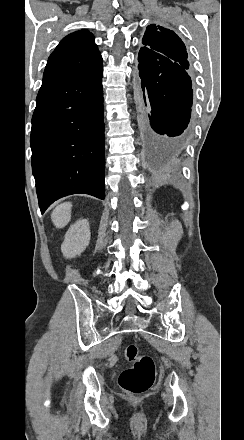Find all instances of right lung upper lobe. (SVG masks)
<instances>
[{
	"mask_svg": "<svg viewBox=\"0 0 244 440\" xmlns=\"http://www.w3.org/2000/svg\"><path fill=\"white\" fill-rule=\"evenodd\" d=\"M101 62L92 33L76 31L66 36L50 55L43 77L71 69H87Z\"/></svg>",
	"mask_w": 244,
	"mask_h": 440,
	"instance_id": "obj_1",
	"label": "right lung upper lobe"
}]
</instances>
